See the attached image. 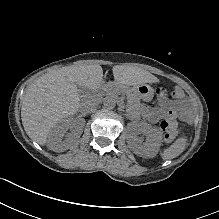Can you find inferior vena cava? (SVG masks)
<instances>
[{"instance_id":"obj_1","label":"inferior vena cava","mask_w":219,"mask_h":219,"mask_svg":"<svg viewBox=\"0 0 219 219\" xmlns=\"http://www.w3.org/2000/svg\"><path fill=\"white\" fill-rule=\"evenodd\" d=\"M81 106L84 111L90 112L95 109L96 103L93 98L87 97L82 100Z\"/></svg>"}]
</instances>
